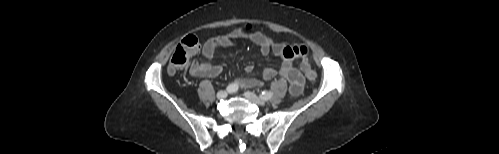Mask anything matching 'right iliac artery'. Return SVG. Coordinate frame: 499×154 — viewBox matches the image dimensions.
Listing matches in <instances>:
<instances>
[{"label": "right iliac artery", "instance_id": "82829eb1", "mask_svg": "<svg viewBox=\"0 0 499 154\" xmlns=\"http://www.w3.org/2000/svg\"><path fill=\"white\" fill-rule=\"evenodd\" d=\"M229 93H234L238 90V85L236 83L229 84L226 88Z\"/></svg>", "mask_w": 499, "mask_h": 154}]
</instances>
